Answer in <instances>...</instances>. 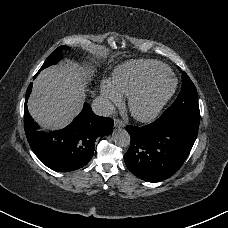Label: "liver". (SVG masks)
<instances>
[{
	"label": "liver",
	"mask_w": 228,
	"mask_h": 228,
	"mask_svg": "<svg viewBox=\"0 0 228 228\" xmlns=\"http://www.w3.org/2000/svg\"><path fill=\"white\" fill-rule=\"evenodd\" d=\"M97 54L103 55L101 47ZM84 99L81 71L75 65L54 66L42 71L34 82L28 109L40 125L59 129L81 111Z\"/></svg>",
	"instance_id": "liver-1"
}]
</instances>
